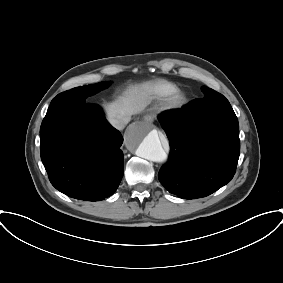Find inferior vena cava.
Returning a JSON list of instances; mask_svg holds the SVG:
<instances>
[{
	"mask_svg": "<svg viewBox=\"0 0 283 283\" xmlns=\"http://www.w3.org/2000/svg\"><path fill=\"white\" fill-rule=\"evenodd\" d=\"M130 117L123 118H111L109 120L110 124L118 130L124 129L125 125L129 122Z\"/></svg>",
	"mask_w": 283,
	"mask_h": 283,
	"instance_id": "inferior-vena-cava-1",
	"label": "inferior vena cava"
}]
</instances>
